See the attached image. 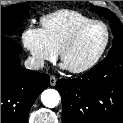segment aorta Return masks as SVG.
Returning a JSON list of instances; mask_svg holds the SVG:
<instances>
[{
	"instance_id": "obj_1",
	"label": "aorta",
	"mask_w": 123,
	"mask_h": 123,
	"mask_svg": "<svg viewBox=\"0 0 123 123\" xmlns=\"http://www.w3.org/2000/svg\"><path fill=\"white\" fill-rule=\"evenodd\" d=\"M41 101L44 106L54 108L59 104L60 94L54 89H46L41 94Z\"/></svg>"
}]
</instances>
